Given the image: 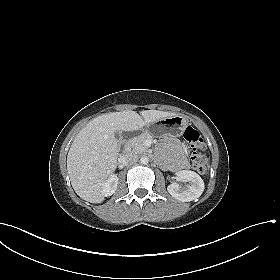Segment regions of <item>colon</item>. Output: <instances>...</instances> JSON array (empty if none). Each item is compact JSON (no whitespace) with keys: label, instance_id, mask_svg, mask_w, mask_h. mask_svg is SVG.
<instances>
[{"label":"colon","instance_id":"colon-1","mask_svg":"<svg viewBox=\"0 0 280 280\" xmlns=\"http://www.w3.org/2000/svg\"><path fill=\"white\" fill-rule=\"evenodd\" d=\"M184 139L190 145V161L192 167L199 173L204 174L207 170V162L202 151L205 149V143L200 132L193 128L187 127L184 131Z\"/></svg>","mask_w":280,"mask_h":280}]
</instances>
